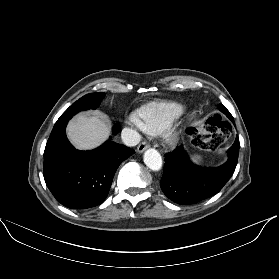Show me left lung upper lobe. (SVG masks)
Masks as SVG:
<instances>
[{
  "instance_id": "5c2ea615",
  "label": "left lung upper lobe",
  "mask_w": 279,
  "mask_h": 279,
  "mask_svg": "<svg viewBox=\"0 0 279 279\" xmlns=\"http://www.w3.org/2000/svg\"><path fill=\"white\" fill-rule=\"evenodd\" d=\"M219 109L225 113L229 118H232L231 114L229 113V111L226 109V107H224L222 104L218 105Z\"/></svg>"
}]
</instances>
